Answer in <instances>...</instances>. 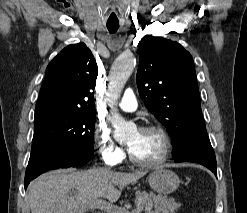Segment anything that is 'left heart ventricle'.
<instances>
[{
	"instance_id": "b2bd125f",
	"label": "left heart ventricle",
	"mask_w": 247,
	"mask_h": 213,
	"mask_svg": "<svg viewBox=\"0 0 247 213\" xmlns=\"http://www.w3.org/2000/svg\"><path fill=\"white\" fill-rule=\"evenodd\" d=\"M126 143L133 156L145 162L156 160L163 150L162 138L156 132L134 131Z\"/></svg>"
}]
</instances>
